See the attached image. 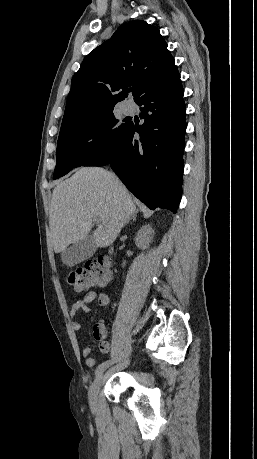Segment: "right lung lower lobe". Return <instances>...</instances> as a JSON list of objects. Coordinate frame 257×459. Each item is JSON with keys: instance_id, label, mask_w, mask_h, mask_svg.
I'll return each instance as SVG.
<instances>
[{"instance_id": "1", "label": "right lung lower lobe", "mask_w": 257, "mask_h": 459, "mask_svg": "<svg viewBox=\"0 0 257 459\" xmlns=\"http://www.w3.org/2000/svg\"><path fill=\"white\" fill-rule=\"evenodd\" d=\"M184 90L180 74L145 94L136 102L144 123L127 127L102 154L83 166L110 165L120 180L146 206L176 213L182 194ZM135 132L140 138L134 137Z\"/></svg>"}]
</instances>
